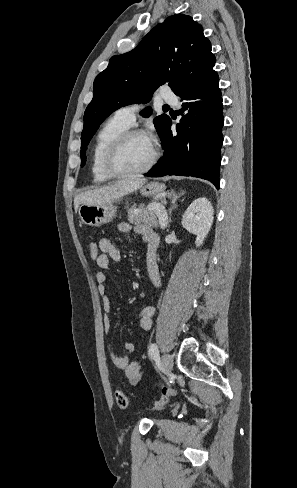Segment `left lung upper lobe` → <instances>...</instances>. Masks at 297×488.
Listing matches in <instances>:
<instances>
[{
	"label": "left lung upper lobe",
	"mask_w": 297,
	"mask_h": 488,
	"mask_svg": "<svg viewBox=\"0 0 297 488\" xmlns=\"http://www.w3.org/2000/svg\"><path fill=\"white\" fill-rule=\"evenodd\" d=\"M216 59L202 26L188 15L176 14L154 27L131 52L113 56L108 67L97 75L94 96L84 113L81 134V166L86 147L99 125L112 112L132 103H146L153 92L167 83L179 97L188 93L215 72ZM151 108L141 114L150 116ZM170 118L154 119L163 138Z\"/></svg>",
	"instance_id": "obj_1"
}]
</instances>
